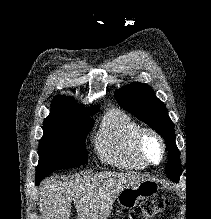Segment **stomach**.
I'll return each instance as SVG.
<instances>
[{
  "mask_svg": "<svg viewBox=\"0 0 211 219\" xmlns=\"http://www.w3.org/2000/svg\"><path fill=\"white\" fill-rule=\"evenodd\" d=\"M159 190V185L152 180H145L136 186L125 188L116 197L121 208L131 209L137 206L140 200L148 198Z\"/></svg>",
  "mask_w": 211,
  "mask_h": 219,
  "instance_id": "1",
  "label": "stomach"
}]
</instances>
